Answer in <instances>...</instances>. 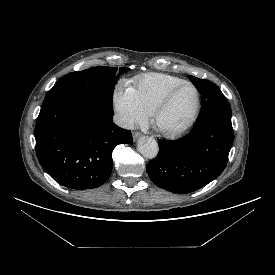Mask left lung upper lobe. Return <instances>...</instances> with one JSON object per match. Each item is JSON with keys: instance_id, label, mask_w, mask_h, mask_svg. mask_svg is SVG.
<instances>
[{"instance_id": "left-lung-upper-lobe-1", "label": "left lung upper lobe", "mask_w": 275, "mask_h": 275, "mask_svg": "<svg viewBox=\"0 0 275 275\" xmlns=\"http://www.w3.org/2000/svg\"><path fill=\"white\" fill-rule=\"evenodd\" d=\"M202 96V110L195 125L215 119L231 118V107L220 89L212 82L189 76Z\"/></svg>"}]
</instances>
